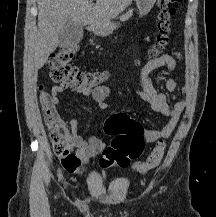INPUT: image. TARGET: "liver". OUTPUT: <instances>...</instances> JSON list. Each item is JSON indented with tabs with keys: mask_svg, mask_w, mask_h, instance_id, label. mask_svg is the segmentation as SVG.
<instances>
[{
	"mask_svg": "<svg viewBox=\"0 0 216 217\" xmlns=\"http://www.w3.org/2000/svg\"><path fill=\"white\" fill-rule=\"evenodd\" d=\"M133 0H37L38 34L35 66L40 69L58 46L59 33L69 19L92 27L110 24Z\"/></svg>",
	"mask_w": 216,
	"mask_h": 217,
	"instance_id": "obj_1",
	"label": "liver"
}]
</instances>
